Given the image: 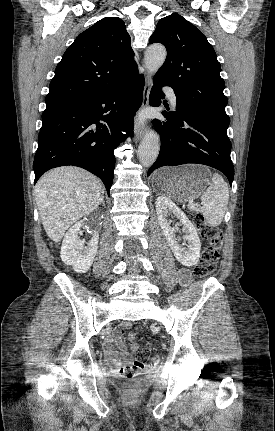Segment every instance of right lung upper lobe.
I'll return each mask as SVG.
<instances>
[{"instance_id":"cb5924a9","label":"right lung upper lobe","mask_w":275,"mask_h":431,"mask_svg":"<svg viewBox=\"0 0 275 431\" xmlns=\"http://www.w3.org/2000/svg\"><path fill=\"white\" fill-rule=\"evenodd\" d=\"M124 22L107 17L82 32L58 63L46 105L117 90L139 75Z\"/></svg>"}]
</instances>
